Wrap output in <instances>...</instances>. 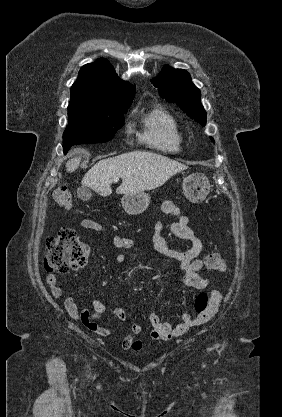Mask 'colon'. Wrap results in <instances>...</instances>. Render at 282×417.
Listing matches in <instances>:
<instances>
[{
  "label": "colon",
  "mask_w": 282,
  "mask_h": 417,
  "mask_svg": "<svg viewBox=\"0 0 282 417\" xmlns=\"http://www.w3.org/2000/svg\"><path fill=\"white\" fill-rule=\"evenodd\" d=\"M55 205L68 209L72 205V197L65 186H58L53 189ZM48 251L43 259V266L46 271L63 273L83 267L89 258V249L85 242L77 238L70 229H64L57 235L46 239ZM208 267L213 271H222L225 266L224 258L217 253L211 254L208 258ZM209 305V296L201 293L194 302L197 313L204 312Z\"/></svg>",
  "instance_id": "1"
}]
</instances>
